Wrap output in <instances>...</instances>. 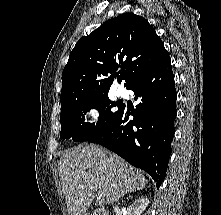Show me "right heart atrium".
<instances>
[{
	"instance_id": "obj_1",
	"label": "right heart atrium",
	"mask_w": 221,
	"mask_h": 215,
	"mask_svg": "<svg viewBox=\"0 0 221 215\" xmlns=\"http://www.w3.org/2000/svg\"><path fill=\"white\" fill-rule=\"evenodd\" d=\"M85 115L90 124H96L101 119L102 111L98 106L92 105L86 108Z\"/></svg>"
}]
</instances>
